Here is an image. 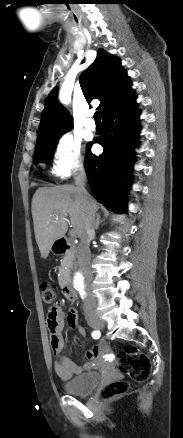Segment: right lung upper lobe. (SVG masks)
Instances as JSON below:
<instances>
[{
    "label": "right lung upper lobe",
    "instance_id": "right-lung-upper-lobe-1",
    "mask_svg": "<svg viewBox=\"0 0 183 438\" xmlns=\"http://www.w3.org/2000/svg\"><path fill=\"white\" fill-rule=\"evenodd\" d=\"M80 86L87 101H100L101 116L135 94L120 60L102 49L82 73ZM57 95L58 87H54L47 97L37 138L60 133L71 126L70 116L59 104Z\"/></svg>",
    "mask_w": 183,
    "mask_h": 438
}]
</instances>
